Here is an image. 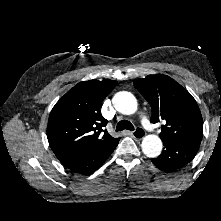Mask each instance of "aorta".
<instances>
[{
	"label": "aorta",
	"mask_w": 221,
	"mask_h": 221,
	"mask_svg": "<svg viewBox=\"0 0 221 221\" xmlns=\"http://www.w3.org/2000/svg\"><path fill=\"white\" fill-rule=\"evenodd\" d=\"M112 101L115 109L124 115H131L137 110V100L130 92H118L114 95ZM162 147L161 139L154 134L145 136L141 143L143 153L149 158L158 157Z\"/></svg>",
	"instance_id": "aorta-1"
}]
</instances>
